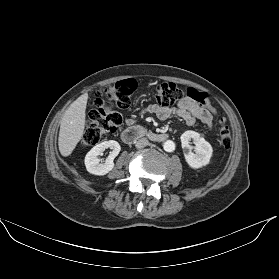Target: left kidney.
<instances>
[{"mask_svg":"<svg viewBox=\"0 0 279 279\" xmlns=\"http://www.w3.org/2000/svg\"><path fill=\"white\" fill-rule=\"evenodd\" d=\"M180 139L185 160L190 167L197 169L209 164L213 153L212 146L198 132L192 130L185 131ZM191 139L195 144V153L192 152Z\"/></svg>","mask_w":279,"mask_h":279,"instance_id":"1","label":"left kidney"}]
</instances>
